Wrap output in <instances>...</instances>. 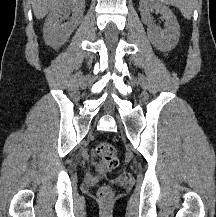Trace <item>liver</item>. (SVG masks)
<instances>
[{"mask_svg": "<svg viewBox=\"0 0 216 217\" xmlns=\"http://www.w3.org/2000/svg\"><path fill=\"white\" fill-rule=\"evenodd\" d=\"M60 0H32V8L37 19H43Z\"/></svg>", "mask_w": 216, "mask_h": 217, "instance_id": "6515ba94", "label": "liver"}]
</instances>
